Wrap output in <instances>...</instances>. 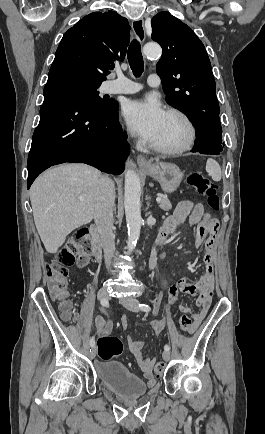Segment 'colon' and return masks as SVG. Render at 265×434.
Segmentation results:
<instances>
[{
    "instance_id": "5ec220e1",
    "label": "colon",
    "mask_w": 265,
    "mask_h": 434,
    "mask_svg": "<svg viewBox=\"0 0 265 434\" xmlns=\"http://www.w3.org/2000/svg\"><path fill=\"white\" fill-rule=\"evenodd\" d=\"M188 184L200 196L206 198L210 208L218 211L220 209V198L217 186L209 179L194 172L188 177ZM86 257H80V264H85ZM75 262L74 245L66 243L62 246L55 256V259L46 266L45 276L48 288L53 299H64L67 295L68 286V266ZM63 307H69L68 303H63ZM68 319V316H65ZM180 328L184 332H190L193 329V319H183L180 315ZM97 350L100 359L104 362L110 361L114 356H120L123 351V343L117 336H102L98 339ZM163 360H158L155 367V374L161 375L164 370Z\"/></svg>"
}]
</instances>
